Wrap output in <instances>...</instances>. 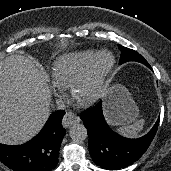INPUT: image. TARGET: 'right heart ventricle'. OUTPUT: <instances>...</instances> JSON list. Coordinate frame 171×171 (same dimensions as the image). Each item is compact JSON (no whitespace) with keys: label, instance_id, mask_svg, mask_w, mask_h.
Here are the masks:
<instances>
[{"label":"right heart ventricle","instance_id":"right-heart-ventricle-1","mask_svg":"<svg viewBox=\"0 0 171 171\" xmlns=\"http://www.w3.org/2000/svg\"><path fill=\"white\" fill-rule=\"evenodd\" d=\"M93 50H86L63 55L53 64L52 78L55 84L68 88L73 79L86 67L92 56Z\"/></svg>","mask_w":171,"mask_h":171}]
</instances>
